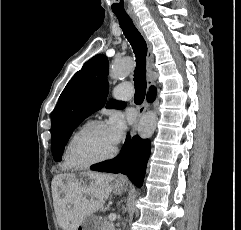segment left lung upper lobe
<instances>
[{
    "mask_svg": "<svg viewBox=\"0 0 241 230\" xmlns=\"http://www.w3.org/2000/svg\"><path fill=\"white\" fill-rule=\"evenodd\" d=\"M108 70V58L98 54L83 65L61 93L51 117V147L55 161H61L65 145L74 129L105 105L109 92ZM124 107V102L115 100L106 104V108Z\"/></svg>",
    "mask_w": 241,
    "mask_h": 230,
    "instance_id": "left-lung-upper-lobe-1",
    "label": "left lung upper lobe"
}]
</instances>
